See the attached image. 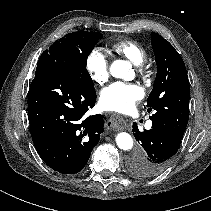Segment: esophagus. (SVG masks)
Wrapping results in <instances>:
<instances>
[{"label": "esophagus", "mask_w": 211, "mask_h": 211, "mask_svg": "<svg viewBox=\"0 0 211 211\" xmlns=\"http://www.w3.org/2000/svg\"><path fill=\"white\" fill-rule=\"evenodd\" d=\"M106 125L110 130H122L126 126V123L120 115L114 114L109 118Z\"/></svg>", "instance_id": "34e87169"}]
</instances>
